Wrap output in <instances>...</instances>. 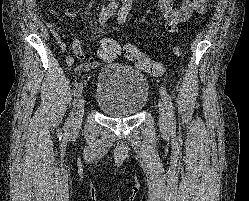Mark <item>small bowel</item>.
<instances>
[{
	"mask_svg": "<svg viewBox=\"0 0 249 201\" xmlns=\"http://www.w3.org/2000/svg\"><path fill=\"white\" fill-rule=\"evenodd\" d=\"M176 0H158V10L165 18V27L169 32H177L179 26L186 22L193 14H202L205 12L209 0H182L179 6L175 5ZM51 35L59 44L62 52L66 50V44L62 40L58 27L54 23H47ZM73 55L66 57V63L73 66L76 59L85 62L75 68L76 72L89 71L97 68L100 63L92 56L87 54L81 46L80 40L76 37L72 41Z\"/></svg>",
	"mask_w": 249,
	"mask_h": 201,
	"instance_id": "c3829d8e",
	"label": "small bowel"
}]
</instances>
